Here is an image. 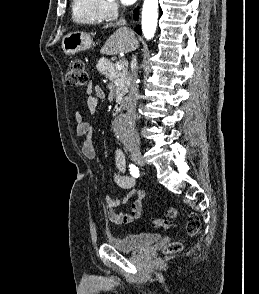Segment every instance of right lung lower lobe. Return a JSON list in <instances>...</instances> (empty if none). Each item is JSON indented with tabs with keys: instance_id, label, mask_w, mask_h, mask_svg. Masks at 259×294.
Wrapping results in <instances>:
<instances>
[{
	"instance_id": "right-lung-lower-lobe-1",
	"label": "right lung lower lobe",
	"mask_w": 259,
	"mask_h": 294,
	"mask_svg": "<svg viewBox=\"0 0 259 294\" xmlns=\"http://www.w3.org/2000/svg\"><path fill=\"white\" fill-rule=\"evenodd\" d=\"M134 18H135V20H137V18H138V9H136V10L134 11ZM135 30H136V32H137L138 34H141V28H140L139 25H137V26L135 27Z\"/></svg>"
}]
</instances>
